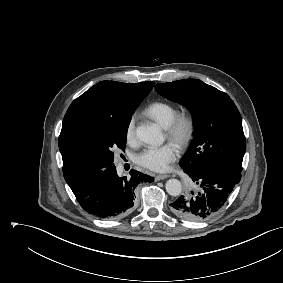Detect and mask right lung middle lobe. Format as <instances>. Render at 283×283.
<instances>
[{
    "mask_svg": "<svg viewBox=\"0 0 283 283\" xmlns=\"http://www.w3.org/2000/svg\"><path fill=\"white\" fill-rule=\"evenodd\" d=\"M135 109L112 117L75 120L64 136L65 148L97 171L113 166V151L125 149L127 130Z\"/></svg>",
    "mask_w": 283,
    "mask_h": 283,
    "instance_id": "right-lung-middle-lobe-1",
    "label": "right lung middle lobe"
}]
</instances>
